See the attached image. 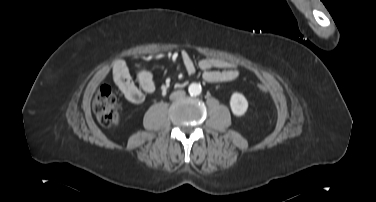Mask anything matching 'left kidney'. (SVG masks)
<instances>
[{
  "label": "left kidney",
  "mask_w": 376,
  "mask_h": 202,
  "mask_svg": "<svg viewBox=\"0 0 376 202\" xmlns=\"http://www.w3.org/2000/svg\"><path fill=\"white\" fill-rule=\"evenodd\" d=\"M230 106L234 115L242 116L247 111L248 101L246 100L244 95L236 92L231 96Z\"/></svg>",
  "instance_id": "5707ae66"
}]
</instances>
